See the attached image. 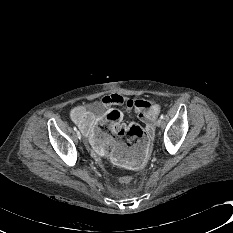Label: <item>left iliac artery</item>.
<instances>
[{"label":"left iliac artery","instance_id":"1","mask_svg":"<svg viewBox=\"0 0 233 233\" xmlns=\"http://www.w3.org/2000/svg\"><path fill=\"white\" fill-rule=\"evenodd\" d=\"M160 118H161V119H164V115L162 114Z\"/></svg>","mask_w":233,"mask_h":233}]
</instances>
